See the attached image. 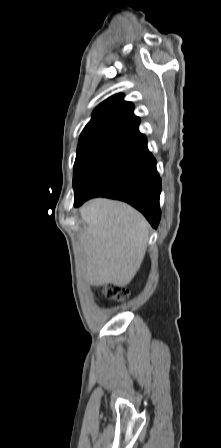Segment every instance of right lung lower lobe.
<instances>
[{
  "label": "right lung lower lobe",
  "mask_w": 221,
  "mask_h": 448,
  "mask_svg": "<svg viewBox=\"0 0 221 448\" xmlns=\"http://www.w3.org/2000/svg\"><path fill=\"white\" fill-rule=\"evenodd\" d=\"M160 193L156 160L147 148L146 137L138 132L114 147L98 164L75 196L74 206L97 196L122 200L142 212L157 228Z\"/></svg>",
  "instance_id": "obj_1"
}]
</instances>
